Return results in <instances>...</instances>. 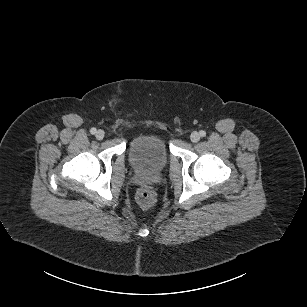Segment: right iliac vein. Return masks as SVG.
Masks as SVG:
<instances>
[{
	"mask_svg": "<svg viewBox=\"0 0 307 307\" xmlns=\"http://www.w3.org/2000/svg\"><path fill=\"white\" fill-rule=\"evenodd\" d=\"M96 138L98 139V140H102L103 138H104V136H105V133H104V131L103 130H98L97 132H96Z\"/></svg>",
	"mask_w": 307,
	"mask_h": 307,
	"instance_id": "63e3f726",
	"label": "right iliac vein"
}]
</instances>
